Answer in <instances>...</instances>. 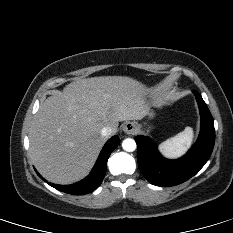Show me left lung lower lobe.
<instances>
[{
    "label": "left lung lower lobe",
    "instance_id": "obj_1",
    "mask_svg": "<svg viewBox=\"0 0 233 233\" xmlns=\"http://www.w3.org/2000/svg\"><path fill=\"white\" fill-rule=\"evenodd\" d=\"M201 115V131L196 144L186 155L177 160L161 156L153 141L137 136V159L139 168L147 181L156 186H174L185 182L197 174L208 161L215 142L212 115L201 95L193 91Z\"/></svg>",
    "mask_w": 233,
    "mask_h": 233
}]
</instances>
